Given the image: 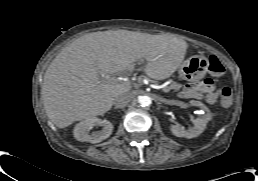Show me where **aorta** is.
Wrapping results in <instances>:
<instances>
[{
    "label": "aorta",
    "mask_w": 258,
    "mask_h": 181,
    "mask_svg": "<svg viewBox=\"0 0 258 181\" xmlns=\"http://www.w3.org/2000/svg\"><path fill=\"white\" fill-rule=\"evenodd\" d=\"M151 98L149 96H141L139 98V103L142 107L149 106L151 104Z\"/></svg>",
    "instance_id": "aorta-1"
}]
</instances>
